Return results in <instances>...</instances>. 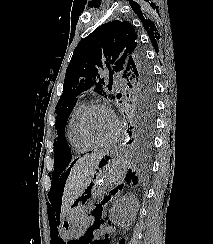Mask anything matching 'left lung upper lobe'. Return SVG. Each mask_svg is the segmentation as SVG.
<instances>
[{
	"instance_id": "obj_1",
	"label": "left lung upper lobe",
	"mask_w": 213,
	"mask_h": 244,
	"mask_svg": "<svg viewBox=\"0 0 213 244\" xmlns=\"http://www.w3.org/2000/svg\"><path fill=\"white\" fill-rule=\"evenodd\" d=\"M113 76L122 80L129 98V110L155 116L151 68L138 45L134 28L121 19L99 26L80 41L73 52L55 110L58 138L54 142V156L60 166L70 155L64 132L77 97L87 90H94L106 98L120 99L122 94L114 96L104 89L107 86L112 90Z\"/></svg>"
}]
</instances>
